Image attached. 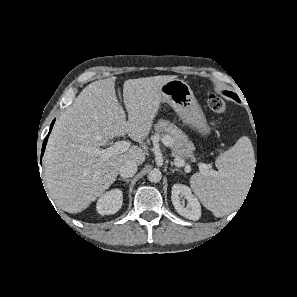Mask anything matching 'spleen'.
Masks as SVG:
<instances>
[{
    "mask_svg": "<svg viewBox=\"0 0 297 297\" xmlns=\"http://www.w3.org/2000/svg\"><path fill=\"white\" fill-rule=\"evenodd\" d=\"M215 164L218 172L214 176L196 173L190 184L202 204L216 217H222L237 208L251 182L255 159L250 139L241 137Z\"/></svg>",
    "mask_w": 297,
    "mask_h": 297,
    "instance_id": "obj_1",
    "label": "spleen"
}]
</instances>
